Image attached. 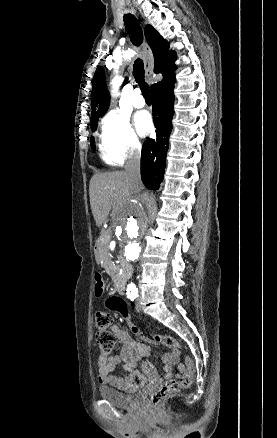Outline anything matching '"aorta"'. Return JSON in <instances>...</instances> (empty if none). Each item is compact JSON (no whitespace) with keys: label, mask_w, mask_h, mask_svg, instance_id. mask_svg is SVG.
<instances>
[{"label":"aorta","mask_w":277,"mask_h":438,"mask_svg":"<svg viewBox=\"0 0 277 438\" xmlns=\"http://www.w3.org/2000/svg\"><path fill=\"white\" fill-rule=\"evenodd\" d=\"M134 52L128 50L123 57L129 59ZM121 58L117 59L120 64ZM118 67H115L117 72ZM119 83L113 86V93L116 94ZM149 217L144 207L133 202L121 207L115 215L114 232L115 241L123 257L128 261L137 260L142 252L143 243L148 235ZM137 288L133 283L128 284L127 293H136Z\"/></svg>","instance_id":"obj_1"}]
</instances>
